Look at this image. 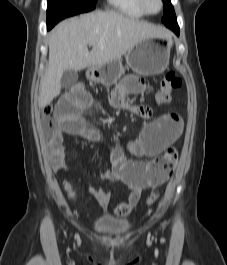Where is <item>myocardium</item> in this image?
Returning a JSON list of instances; mask_svg holds the SVG:
<instances>
[{
  "label": "myocardium",
  "instance_id": "myocardium-1",
  "mask_svg": "<svg viewBox=\"0 0 227 265\" xmlns=\"http://www.w3.org/2000/svg\"><path fill=\"white\" fill-rule=\"evenodd\" d=\"M139 2H140L141 9L147 15H156L163 8V0H157V2H158V9L156 11H151V10L148 9V7H147V0H139Z\"/></svg>",
  "mask_w": 227,
  "mask_h": 265
}]
</instances>
